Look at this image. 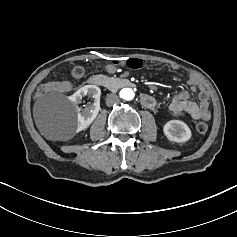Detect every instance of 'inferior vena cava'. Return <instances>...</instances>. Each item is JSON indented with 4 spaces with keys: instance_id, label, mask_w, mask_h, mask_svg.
Here are the masks:
<instances>
[{
    "instance_id": "obj_1",
    "label": "inferior vena cava",
    "mask_w": 237,
    "mask_h": 237,
    "mask_svg": "<svg viewBox=\"0 0 237 237\" xmlns=\"http://www.w3.org/2000/svg\"><path fill=\"white\" fill-rule=\"evenodd\" d=\"M118 96L116 94H108L106 98V105L112 106L116 102H118Z\"/></svg>"
}]
</instances>
